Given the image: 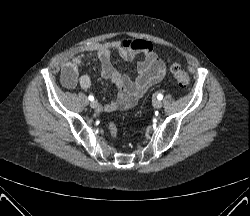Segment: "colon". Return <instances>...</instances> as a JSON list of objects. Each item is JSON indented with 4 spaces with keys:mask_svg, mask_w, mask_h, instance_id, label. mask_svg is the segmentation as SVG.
<instances>
[{
    "mask_svg": "<svg viewBox=\"0 0 250 216\" xmlns=\"http://www.w3.org/2000/svg\"><path fill=\"white\" fill-rule=\"evenodd\" d=\"M171 73L181 87H187L190 82V77L187 72H185L179 64L171 63L170 65ZM109 131L112 137L117 136V127L114 123L109 124Z\"/></svg>",
    "mask_w": 250,
    "mask_h": 216,
    "instance_id": "colon-1",
    "label": "colon"
}]
</instances>
